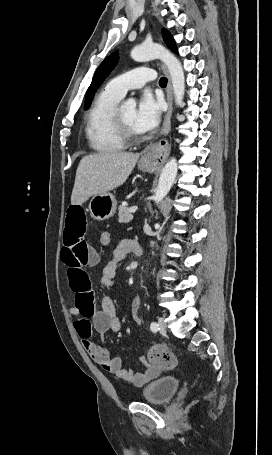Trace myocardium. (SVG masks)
<instances>
[{
  "label": "myocardium",
  "mask_w": 272,
  "mask_h": 455,
  "mask_svg": "<svg viewBox=\"0 0 272 455\" xmlns=\"http://www.w3.org/2000/svg\"><path fill=\"white\" fill-rule=\"evenodd\" d=\"M113 124L118 137L125 145L133 144L138 141L139 136L137 132H134L127 126L121 116L120 109L118 108H116L113 115Z\"/></svg>",
  "instance_id": "1"
}]
</instances>
